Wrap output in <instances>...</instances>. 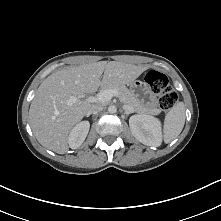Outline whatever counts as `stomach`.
Here are the masks:
<instances>
[{
    "instance_id": "stomach-1",
    "label": "stomach",
    "mask_w": 221,
    "mask_h": 221,
    "mask_svg": "<svg viewBox=\"0 0 221 221\" xmlns=\"http://www.w3.org/2000/svg\"><path fill=\"white\" fill-rule=\"evenodd\" d=\"M130 91L134 94V96L140 101V103L144 106H147L146 97L148 94V86L145 82L140 80H134L129 84Z\"/></svg>"
}]
</instances>
